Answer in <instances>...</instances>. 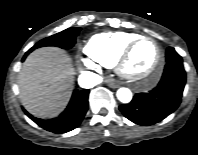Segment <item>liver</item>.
<instances>
[{"label": "liver", "mask_w": 198, "mask_h": 155, "mask_svg": "<svg viewBox=\"0 0 198 155\" xmlns=\"http://www.w3.org/2000/svg\"><path fill=\"white\" fill-rule=\"evenodd\" d=\"M73 76L74 68L66 52L52 47L35 50L18 75L22 105L36 117L57 116L70 99Z\"/></svg>", "instance_id": "6515ba94"}]
</instances>
